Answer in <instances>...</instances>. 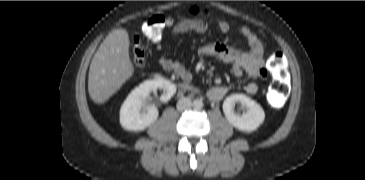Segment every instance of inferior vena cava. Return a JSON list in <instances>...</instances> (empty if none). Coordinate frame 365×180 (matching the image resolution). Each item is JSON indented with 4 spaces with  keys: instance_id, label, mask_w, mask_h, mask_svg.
<instances>
[{
    "instance_id": "602c4592",
    "label": "inferior vena cava",
    "mask_w": 365,
    "mask_h": 180,
    "mask_svg": "<svg viewBox=\"0 0 365 180\" xmlns=\"http://www.w3.org/2000/svg\"><path fill=\"white\" fill-rule=\"evenodd\" d=\"M191 106H192V101L190 98L183 97L179 99L177 102V110L179 111L189 110Z\"/></svg>"
}]
</instances>
